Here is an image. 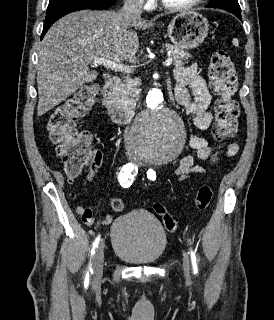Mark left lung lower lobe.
<instances>
[{
  "label": "left lung lower lobe",
  "instance_id": "0a47b994",
  "mask_svg": "<svg viewBox=\"0 0 274 320\" xmlns=\"http://www.w3.org/2000/svg\"><path fill=\"white\" fill-rule=\"evenodd\" d=\"M233 14L236 15L241 20V13L234 12Z\"/></svg>",
  "mask_w": 274,
  "mask_h": 320
}]
</instances>
